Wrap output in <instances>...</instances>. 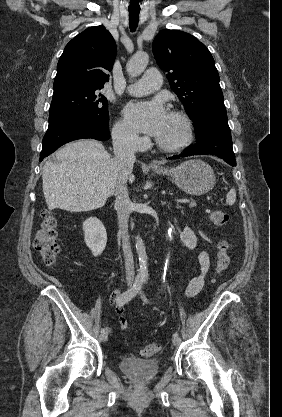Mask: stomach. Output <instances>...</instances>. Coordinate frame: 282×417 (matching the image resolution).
<instances>
[{
  "instance_id": "1",
  "label": "stomach",
  "mask_w": 282,
  "mask_h": 417,
  "mask_svg": "<svg viewBox=\"0 0 282 417\" xmlns=\"http://www.w3.org/2000/svg\"><path fill=\"white\" fill-rule=\"evenodd\" d=\"M158 174L171 176L175 184L188 194H206L215 186V172L204 160H185L178 166H155Z\"/></svg>"
}]
</instances>
